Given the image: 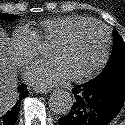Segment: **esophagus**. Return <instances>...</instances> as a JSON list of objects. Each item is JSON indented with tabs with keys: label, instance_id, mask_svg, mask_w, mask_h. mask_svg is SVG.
Returning a JSON list of instances; mask_svg holds the SVG:
<instances>
[{
	"label": "esophagus",
	"instance_id": "34e87169",
	"mask_svg": "<svg viewBox=\"0 0 125 125\" xmlns=\"http://www.w3.org/2000/svg\"><path fill=\"white\" fill-rule=\"evenodd\" d=\"M48 92H50L49 90L46 89H38L37 93H41V94H47Z\"/></svg>",
	"mask_w": 125,
	"mask_h": 125
}]
</instances>
